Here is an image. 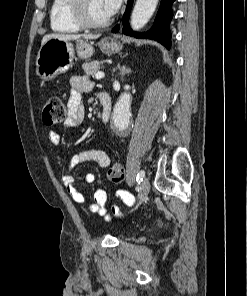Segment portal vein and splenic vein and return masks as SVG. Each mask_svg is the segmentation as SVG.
Wrapping results in <instances>:
<instances>
[{"label": "portal vein and splenic vein", "instance_id": "obj_1", "mask_svg": "<svg viewBox=\"0 0 247 296\" xmlns=\"http://www.w3.org/2000/svg\"><path fill=\"white\" fill-rule=\"evenodd\" d=\"M104 75H105L104 72H97L95 75V78L99 80V79H102Z\"/></svg>", "mask_w": 247, "mask_h": 296}]
</instances>
